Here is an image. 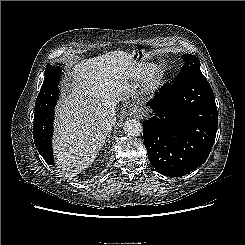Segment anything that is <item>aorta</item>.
<instances>
[{"instance_id":"1","label":"aorta","mask_w":245,"mask_h":245,"mask_svg":"<svg viewBox=\"0 0 245 245\" xmlns=\"http://www.w3.org/2000/svg\"><path fill=\"white\" fill-rule=\"evenodd\" d=\"M123 130L127 136L136 137L142 132V124L136 119H129L125 121Z\"/></svg>"}]
</instances>
